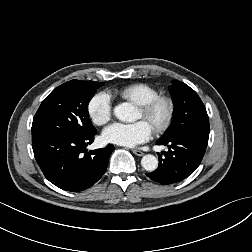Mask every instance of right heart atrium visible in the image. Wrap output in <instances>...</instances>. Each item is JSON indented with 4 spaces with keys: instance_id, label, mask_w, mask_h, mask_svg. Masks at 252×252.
I'll return each mask as SVG.
<instances>
[{
    "instance_id": "right-heart-atrium-1",
    "label": "right heart atrium",
    "mask_w": 252,
    "mask_h": 252,
    "mask_svg": "<svg viewBox=\"0 0 252 252\" xmlns=\"http://www.w3.org/2000/svg\"><path fill=\"white\" fill-rule=\"evenodd\" d=\"M87 113L90 120L97 126L108 123L112 117V105L108 94H95L87 104Z\"/></svg>"
}]
</instances>
